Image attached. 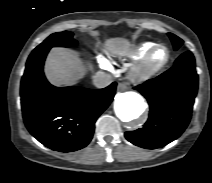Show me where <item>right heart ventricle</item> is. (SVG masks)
Listing matches in <instances>:
<instances>
[{
    "instance_id": "e07e8e85",
    "label": "right heart ventricle",
    "mask_w": 212,
    "mask_h": 183,
    "mask_svg": "<svg viewBox=\"0 0 212 183\" xmlns=\"http://www.w3.org/2000/svg\"><path fill=\"white\" fill-rule=\"evenodd\" d=\"M155 42H143L139 44L131 53L130 58L132 60L140 59L147 51H149L153 46H155Z\"/></svg>"
}]
</instances>
